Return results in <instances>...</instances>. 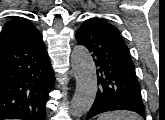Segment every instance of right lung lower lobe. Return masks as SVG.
<instances>
[{"label":"right lung lower lobe","mask_w":165,"mask_h":120,"mask_svg":"<svg viewBox=\"0 0 165 120\" xmlns=\"http://www.w3.org/2000/svg\"><path fill=\"white\" fill-rule=\"evenodd\" d=\"M54 83L41 33L0 48V120H45Z\"/></svg>","instance_id":"obj_1"}]
</instances>
